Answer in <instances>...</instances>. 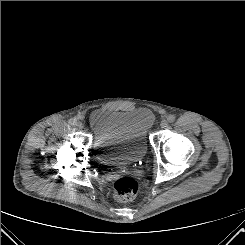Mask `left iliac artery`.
Returning <instances> with one entry per match:
<instances>
[{
	"instance_id": "obj_1",
	"label": "left iliac artery",
	"mask_w": 245,
	"mask_h": 245,
	"mask_svg": "<svg viewBox=\"0 0 245 245\" xmlns=\"http://www.w3.org/2000/svg\"><path fill=\"white\" fill-rule=\"evenodd\" d=\"M167 120H168L169 123H173L175 121V116L174 115H169L167 117Z\"/></svg>"
}]
</instances>
